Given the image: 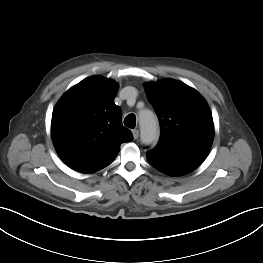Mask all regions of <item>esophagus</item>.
Returning a JSON list of instances; mask_svg holds the SVG:
<instances>
[{
  "label": "esophagus",
  "instance_id": "1",
  "mask_svg": "<svg viewBox=\"0 0 263 263\" xmlns=\"http://www.w3.org/2000/svg\"><path fill=\"white\" fill-rule=\"evenodd\" d=\"M133 138L137 139L139 137V131L137 129L132 130Z\"/></svg>",
  "mask_w": 263,
  "mask_h": 263
}]
</instances>
